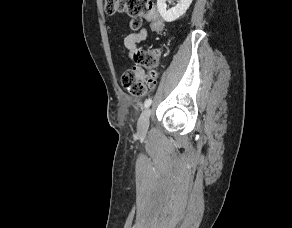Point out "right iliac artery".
<instances>
[{
    "label": "right iliac artery",
    "mask_w": 292,
    "mask_h": 228,
    "mask_svg": "<svg viewBox=\"0 0 292 228\" xmlns=\"http://www.w3.org/2000/svg\"><path fill=\"white\" fill-rule=\"evenodd\" d=\"M151 103H152L151 99L146 100L145 103H144V107L148 108L151 105Z\"/></svg>",
    "instance_id": "1"
}]
</instances>
